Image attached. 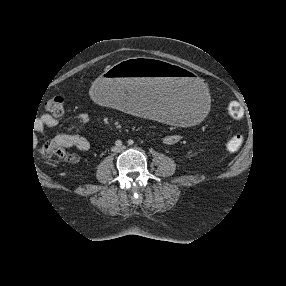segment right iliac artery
Masks as SVG:
<instances>
[{
  "mask_svg": "<svg viewBox=\"0 0 286 286\" xmlns=\"http://www.w3.org/2000/svg\"><path fill=\"white\" fill-rule=\"evenodd\" d=\"M115 145H116L117 147H121V146H122V141H121V140H117V141L115 142Z\"/></svg>",
  "mask_w": 286,
  "mask_h": 286,
  "instance_id": "obj_1",
  "label": "right iliac artery"
}]
</instances>
